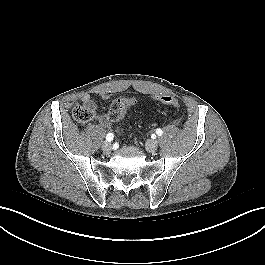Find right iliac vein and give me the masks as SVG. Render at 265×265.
<instances>
[{
  "label": "right iliac vein",
  "mask_w": 265,
  "mask_h": 265,
  "mask_svg": "<svg viewBox=\"0 0 265 265\" xmlns=\"http://www.w3.org/2000/svg\"><path fill=\"white\" fill-rule=\"evenodd\" d=\"M102 150L105 152V153H110L111 152V150H112V145H111V143H109V142H105V143H103L102 144Z\"/></svg>",
  "instance_id": "obj_1"
}]
</instances>
